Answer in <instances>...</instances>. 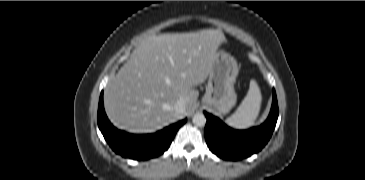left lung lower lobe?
I'll use <instances>...</instances> for the list:
<instances>
[{"instance_id":"0a47b994","label":"left lung lower lobe","mask_w":365,"mask_h":180,"mask_svg":"<svg viewBox=\"0 0 365 180\" xmlns=\"http://www.w3.org/2000/svg\"><path fill=\"white\" fill-rule=\"evenodd\" d=\"M207 123L205 139L209 149L227 160H239L260 151L269 141L278 118V103L275 90L267 120L258 127L248 130H234L221 120L205 112Z\"/></svg>"}]
</instances>
